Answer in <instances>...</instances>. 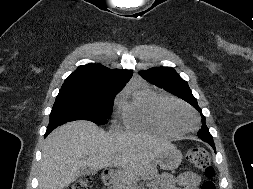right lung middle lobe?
Listing matches in <instances>:
<instances>
[{
    "instance_id": "right-lung-middle-lobe-1",
    "label": "right lung middle lobe",
    "mask_w": 253,
    "mask_h": 189,
    "mask_svg": "<svg viewBox=\"0 0 253 189\" xmlns=\"http://www.w3.org/2000/svg\"><path fill=\"white\" fill-rule=\"evenodd\" d=\"M119 92L108 89H60L48 126H59L75 120L106 124L112 114L114 97Z\"/></svg>"
}]
</instances>
